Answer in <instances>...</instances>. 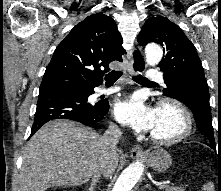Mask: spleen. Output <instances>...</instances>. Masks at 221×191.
Instances as JSON below:
<instances>
[{"label": "spleen", "mask_w": 221, "mask_h": 191, "mask_svg": "<svg viewBox=\"0 0 221 191\" xmlns=\"http://www.w3.org/2000/svg\"><path fill=\"white\" fill-rule=\"evenodd\" d=\"M202 190L204 191H214V184L213 183H207L203 185Z\"/></svg>", "instance_id": "spleen-1"}]
</instances>
